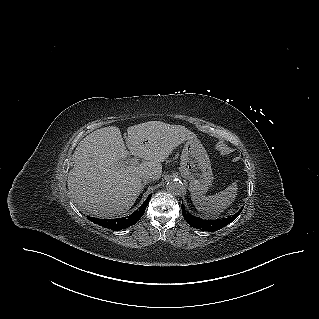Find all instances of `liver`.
Wrapping results in <instances>:
<instances>
[{
    "label": "liver",
    "mask_w": 319,
    "mask_h": 319,
    "mask_svg": "<svg viewBox=\"0 0 319 319\" xmlns=\"http://www.w3.org/2000/svg\"><path fill=\"white\" fill-rule=\"evenodd\" d=\"M130 153L144 159L121 165L129 155L118 127L97 129L80 141L68 174V188L76 204L89 214L109 218L125 214L141 193L142 173L162 174V164L181 143L196 135L181 125L149 121L128 127Z\"/></svg>",
    "instance_id": "1"
}]
</instances>
